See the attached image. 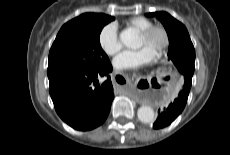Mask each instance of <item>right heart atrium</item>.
<instances>
[{
  "label": "right heart atrium",
  "mask_w": 230,
  "mask_h": 155,
  "mask_svg": "<svg viewBox=\"0 0 230 155\" xmlns=\"http://www.w3.org/2000/svg\"><path fill=\"white\" fill-rule=\"evenodd\" d=\"M98 43L101 50L108 56L117 54L121 49L117 28L113 24L105 25L99 32Z\"/></svg>",
  "instance_id": "right-heart-atrium-1"
}]
</instances>
